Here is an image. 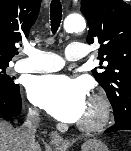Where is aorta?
<instances>
[{
	"label": "aorta",
	"instance_id": "1",
	"mask_svg": "<svg viewBox=\"0 0 131 151\" xmlns=\"http://www.w3.org/2000/svg\"><path fill=\"white\" fill-rule=\"evenodd\" d=\"M86 28L84 18L79 14H71L64 21V29L68 33L80 32Z\"/></svg>",
	"mask_w": 131,
	"mask_h": 151
}]
</instances>
